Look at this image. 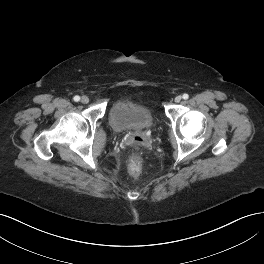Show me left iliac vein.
Listing matches in <instances>:
<instances>
[{
    "mask_svg": "<svg viewBox=\"0 0 264 264\" xmlns=\"http://www.w3.org/2000/svg\"><path fill=\"white\" fill-rule=\"evenodd\" d=\"M181 100H182V97L180 95L176 96L174 99L176 103H179Z\"/></svg>",
    "mask_w": 264,
    "mask_h": 264,
    "instance_id": "obj_1",
    "label": "left iliac vein"
}]
</instances>
